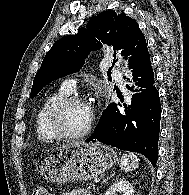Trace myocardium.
I'll return each instance as SVG.
<instances>
[{
	"label": "myocardium",
	"mask_w": 189,
	"mask_h": 195,
	"mask_svg": "<svg viewBox=\"0 0 189 195\" xmlns=\"http://www.w3.org/2000/svg\"><path fill=\"white\" fill-rule=\"evenodd\" d=\"M75 104H83L88 106V102L86 99L79 97V96H69L62 101H60L51 111L49 118H48V125L49 129L53 133V135L60 140H65V141H74V140H79L84 137H86L91 130L93 129V126L95 124V117L93 112H91V117L90 120L86 126V128L78 133V134H67L64 132L61 128V117L63 113L72 105Z\"/></svg>",
	"instance_id": "1"
}]
</instances>
